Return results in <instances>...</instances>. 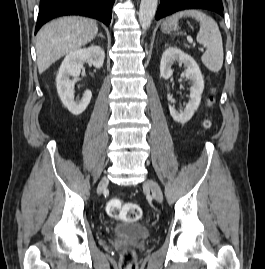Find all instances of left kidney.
<instances>
[{"label":"left kidney","mask_w":265,"mask_h":269,"mask_svg":"<svg viewBox=\"0 0 265 269\" xmlns=\"http://www.w3.org/2000/svg\"><path fill=\"white\" fill-rule=\"evenodd\" d=\"M175 61H178L179 65L184 64L186 66L185 76L191 80L192 86L190 87V100L184 111H177L171 105H169V110L176 122L185 124L192 118L200 105L201 95L204 90V80L196 61L190 55L176 47H168L162 54L160 75L165 80H168L172 76L173 70L171 67ZM167 99L171 100L172 96L168 94Z\"/></svg>","instance_id":"left-kidney-1"}]
</instances>
